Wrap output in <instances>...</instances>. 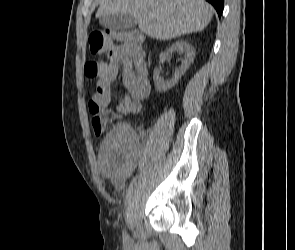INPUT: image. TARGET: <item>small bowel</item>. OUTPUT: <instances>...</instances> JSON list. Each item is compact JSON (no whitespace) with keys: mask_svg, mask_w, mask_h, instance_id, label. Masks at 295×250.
<instances>
[{"mask_svg":"<svg viewBox=\"0 0 295 250\" xmlns=\"http://www.w3.org/2000/svg\"><path fill=\"white\" fill-rule=\"evenodd\" d=\"M108 58L92 101L100 108H107L112 99L111 86L121 76L126 94L119 101L117 110L124 114L138 112L151 89L144 53H133L121 44L110 49ZM134 149L133 132L125 125L115 127L103 140L98 156L99 167L114 185H121L130 174Z\"/></svg>","mask_w":295,"mask_h":250,"instance_id":"small-bowel-1","label":"small bowel"}]
</instances>
